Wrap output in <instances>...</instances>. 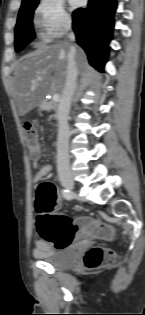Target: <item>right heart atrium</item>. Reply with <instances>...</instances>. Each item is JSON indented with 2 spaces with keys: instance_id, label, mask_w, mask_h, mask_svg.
<instances>
[{
  "instance_id": "right-heart-atrium-1",
  "label": "right heart atrium",
  "mask_w": 145,
  "mask_h": 315,
  "mask_svg": "<svg viewBox=\"0 0 145 315\" xmlns=\"http://www.w3.org/2000/svg\"><path fill=\"white\" fill-rule=\"evenodd\" d=\"M35 23L48 37H60L71 28V18L62 0H40L35 8Z\"/></svg>"
}]
</instances>
